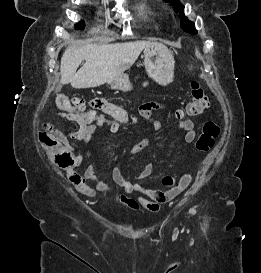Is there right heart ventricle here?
I'll return each instance as SVG.
<instances>
[{
    "mask_svg": "<svg viewBox=\"0 0 261 273\" xmlns=\"http://www.w3.org/2000/svg\"><path fill=\"white\" fill-rule=\"evenodd\" d=\"M139 11L142 15H147V8H146V5L145 4H142L140 7H139Z\"/></svg>",
    "mask_w": 261,
    "mask_h": 273,
    "instance_id": "e07e8e85",
    "label": "right heart ventricle"
}]
</instances>
